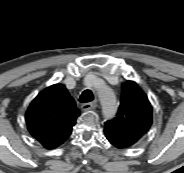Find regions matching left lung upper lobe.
<instances>
[{
    "mask_svg": "<svg viewBox=\"0 0 184 173\" xmlns=\"http://www.w3.org/2000/svg\"><path fill=\"white\" fill-rule=\"evenodd\" d=\"M152 107L146 94L133 81L122 84L119 110L114 119L105 122V133L132 146L149 130Z\"/></svg>",
    "mask_w": 184,
    "mask_h": 173,
    "instance_id": "1",
    "label": "left lung upper lobe"
}]
</instances>
